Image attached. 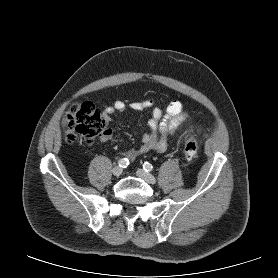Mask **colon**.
<instances>
[{
	"label": "colon",
	"instance_id": "obj_1",
	"mask_svg": "<svg viewBox=\"0 0 278 278\" xmlns=\"http://www.w3.org/2000/svg\"><path fill=\"white\" fill-rule=\"evenodd\" d=\"M63 124L66 128L65 140L68 144L78 139L92 144L95 139L106 131V116L91 102L72 104L66 111ZM199 147L195 138L187 134L184 138L183 152L188 160L198 156Z\"/></svg>",
	"mask_w": 278,
	"mask_h": 278
}]
</instances>
